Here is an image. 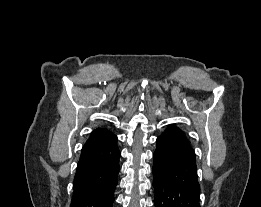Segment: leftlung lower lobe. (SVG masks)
Returning a JSON list of instances; mask_svg holds the SVG:
<instances>
[{
  "label": "left lung lower lobe",
  "instance_id": "left-lung-lower-lobe-1",
  "mask_svg": "<svg viewBox=\"0 0 261 207\" xmlns=\"http://www.w3.org/2000/svg\"><path fill=\"white\" fill-rule=\"evenodd\" d=\"M156 143L152 168L155 207H200L196 154L186 134L172 124Z\"/></svg>",
  "mask_w": 261,
  "mask_h": 207
}]
</instances>
